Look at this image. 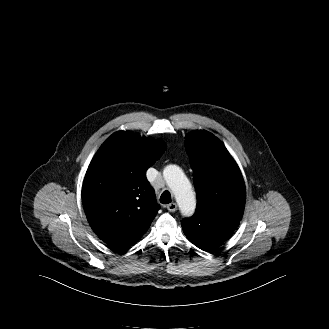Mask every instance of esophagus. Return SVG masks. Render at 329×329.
Here are the masks:
<instances>
[{"instance_id":"34e87169","label":"esophagus","mask_w":329,"mask_h":329,"mask_svg":"<svg viewBox=\"0 0 329 329\" xmlns=\"http://www.w3.org/2000/svg\"><path fill=\"white\" fill-rule=\"evenodd\" d=\"M166 208L170 212H175L177 210V204L176 203H170L166 206Z\"/></svg>"}]
</instances>
